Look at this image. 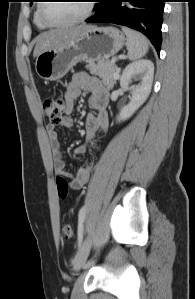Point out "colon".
I'll list each match as a JSON object with an SVG mask.
<instances>
[{
    "mask_svg": "<svg viewBox=\"0 0 195 299\" xmlns=\"http://www.w3.org/2000/svg\"><path fill=\"white\" fill-rule=\"evenodd\" d=\"M42 109L44 114L53 124H58L62 120V116L65 110V102L59 97H46L42 103ZM57 191L61 199H65L69 193V183L66 179L59 177L57 179ZM74 226L70 223H65L62 226V233L66 238H70L74 235Z\"/></svg>",
    "mask_w": 195,
    "mask_h": 299,
    "instance_id": "1",
    "label": "colon"
}]
</instances>
